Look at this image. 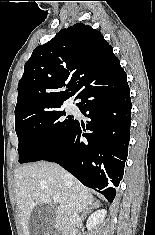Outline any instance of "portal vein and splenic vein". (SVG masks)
<instances>
[{"instance_id":"obj_1","label":"portal vein and splenic vein","mask_w":155,"mask_h":235,"mask_svg":"<svg viewBox=\"0 0 155 235\" xmlns=\"http://www.w3.org/2000/svg\"><path fill=\"white\" fill-rule=\"evenodd\" d=\"M53 200H54L55 202H59V201H60V198H59V196L55 195V196H53Z\"/></svg>"}]
</instances>
